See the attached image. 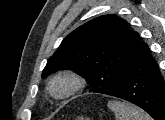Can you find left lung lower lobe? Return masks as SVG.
I'll return each instance as SVG.
<instances>
[{
    "mask_svg": "<svg viewBox=\"0 0 165 120\" xmlns=\"http://www.w3.org/2000/svg\"><path fill=\"white\" fill-rule=\"evenodd\" d=\"M107 95L141 107L155 120H165V82L145 43H139L126 67L121 84Z\"/></svg>",
    "mask_w": 165,
    "mask_h": 120,
    "instance_id": "left-lung-lower-lobe-1",
    "label": "left lung lower lobe"
}]
</instances>
